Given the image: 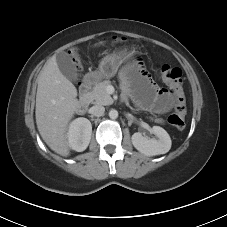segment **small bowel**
I'll list each match as a JSON object with an SVG mask.
<instances>
[{"instance_id":"obj_1","label":"small bowel","mask_w":227,"mask_h":227,"mask_svg":"<svg viewBox=\"0 0 227 227\" xmlns=\"http://www.w3.org/2000/svg\"><path fill=\"white\" fill-rule=\"evenodd\" d=\"M140 55H131L123 59L122 64L114 67L125 95H133L138 105L157 113L168 112L174 103L172 94L166 89L158 88L143 69ZM124 66H126L124 68Z\"/></svg>"}]
</instances>
